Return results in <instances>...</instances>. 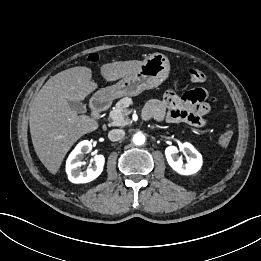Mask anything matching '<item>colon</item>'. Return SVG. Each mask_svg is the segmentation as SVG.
Masks as SVG:
<instances>
[{
	"label": "colon",
	"instance_id": "1",
	"mask_svg": "<svg viewBox=\"0 0 261 261\" xmlns=\"http://www.w3.org/2000/svg\"><path fill=\"white\" fill-rule=\"evenodd\" d=\"M98 59H99V56L97 53H92V54L88 55V57H87V60L89 62H96V61H98ZM187 74L189 76L190 81L193 83H202L206 79V74L202 70H200L196 67L187 68ZM214 101H217V99H214ZM232 136H233V132H232L231 126H230V124H227L225 130L218 137V140H217L218 146H220L222 148L227 147L232 140Z\"/></svg>",
	"mask_w": 261,
	"mask_h": 261
}]
</instances>
